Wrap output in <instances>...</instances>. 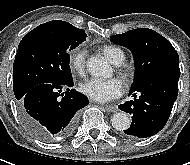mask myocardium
I'll return each instance as SVG.
<instances>
[{
	"instance_id": "myocardium-1",
	"label": "myocardium",
	"mask_w": 190,
	"mask_h": 165,
	"mask_svg": "<svg viewBox=\"0 0 190 165\" xmlns=\"http://www.w3.org/2000/svg\"><path fill=\"white\" fill-rule=\"evenodd\" d=\"M118 73L121 76V78L126 81L130 82L132 81L134 77V71L131 67L128 66H122L118 69Z\"/></svg>"
}]
</instances>
